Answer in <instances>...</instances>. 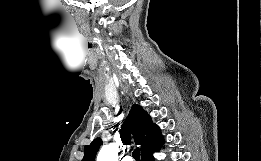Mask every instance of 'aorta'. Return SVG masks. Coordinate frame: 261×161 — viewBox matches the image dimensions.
<instances>
[{"mask_svg":"<svg viewBox=\"0 0 261 161\" xmlns=\"http://www.w3.org/2000/svg\"><path fill=\"white\" fill-rule=\"evenodd\" d=\"M97 161H118V148L112 144L103 146L98 153Z\"/></svg>","mask_w":261,"mask_h":161,"instance_id":"762f6f07","label":"aorta"}]
</instances>
